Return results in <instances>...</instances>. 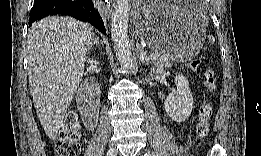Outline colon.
<instances>
[{"label": "colon", "instance_id": "1", "mask_svg": "<svg viewBox=\"0 0 261 156\" xmlns=\"http://www.w3.org/2000/svg\"><path fill=\"white\" fill-rule=\"evenodd\" d=\"M193 72L202 71V61L194 60L190 64ZM203 83L207 91L212 92L217 84V78L212 69L203 71ZM212 106L208 103L203 104L199 110V121L197 124V135L204 138L209 132V122L212 118ZM81 136V125L78 114L74 111L69 112L62 124L59 139L55 148L57 155L77 156L80 153L79 139Z\"/></svg>", "mask_w": 261, "mask_h": 156}]
</instances>
